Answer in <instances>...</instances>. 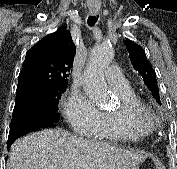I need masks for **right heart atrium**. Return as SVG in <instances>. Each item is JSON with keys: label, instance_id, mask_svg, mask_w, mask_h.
I'll return each instance as SVG.
<instances>
[{"label": "right heart atrium", "instance_id": "1", "mask_svg": "<svg viewBox=\"0 0 177 169\" xmlns=\"http://www.w3.org/2000/svg\"><path fill=\"white\" fill-rule=\"evenodd\" d=\"M67 121L76 133L89 136L100 121V110L83 93L71 90L63 104Z\"/></svg>", "mask_w": 177, "mask_h": 169}]
</instances>
